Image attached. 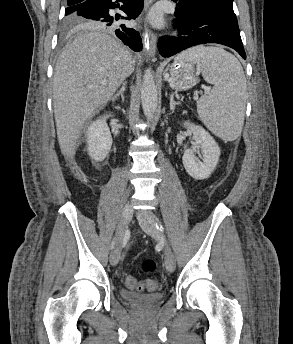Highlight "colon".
Masks as SVG:
<instances>
[{"label": "colon", "mask_w": 293, "mask_h": 344, "mask_svg": "<svg viewBox=\"0 0 293 344\" xmlns=\"http://www.w3.org/2000/svg\"><path fill=\"white\" fill-rule=\"evenodd\" d=\"M141 269L146 273L153 272L156 269V263L152 259H146L141 263ZM126 284L129 287L137 286L136 280L131 276L126 278ZM143 286L148 290H153L157 287V282L153 279H149L144 282Z\"/></svg>", "instance_id": "5ec220e1"}]
</instances>
